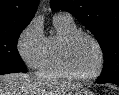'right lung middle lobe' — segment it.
<instances>
[{
	"label": "right lung middle lobe",
	"instance_id": "right-lung-middle-lobe-1",
	"mask_svg": "<svg viewBox=\"0 0 119 95\" xmlns=\"http://www.w3.org/2000/svg\"><path fill=\"white\" fill-rule=\"evenodd\" d=\"M29 23L12 24L0 27V68L27 72L26 66L17 50L20 33Z\"/></svg>",
	"mask_w": 119,
	"mask_h": 95
}]
</instances>
